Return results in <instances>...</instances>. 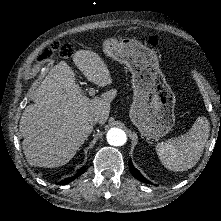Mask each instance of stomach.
Returning <instances> with one entry per match:
<instances>
[{
  "instance_id": "0dacf381",
  "label": "stomach",
  "mask_w": 221,
  "mask_h": 221,
  "mask_svg": "<svg viewBox=\"0 0 221 221\" xmlns=\"http://www.w3.org/2000/svg\"><path fill=\"white\" fill-rule=\"evenodd\" d=\"M104 52L126 64L132 73L133 102L129 117L139 132L150 139L168 134L175 124V95L161 73L155 54L137 41H104Z\"/></svg>"
}]
</instances>
